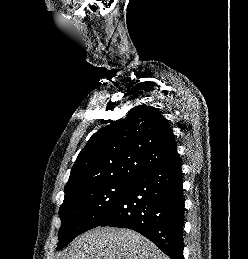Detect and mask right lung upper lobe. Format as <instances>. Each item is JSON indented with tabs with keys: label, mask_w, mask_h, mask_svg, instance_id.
<instances>
[{
	"label": "right lung upper lobe",
	"mask_w": 248,
	"mask_h": 259,
	"mask_svg": "<svg viewBox=\"0 0 248 259\" xmlns=\"http://www.w3.org/2000/svg\"><path fill=\"white\" fill-rule=\"evenodd\" d=\"M177 159L168 121L156 108L138 105L126 119L112 122L89 139L72 167L64 191L106 181H133Z\"/></svg>",
	"instance_id": "cb5924a9"
}]
</instances>
